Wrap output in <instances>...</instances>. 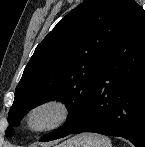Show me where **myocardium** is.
I'll return each mask as SVG.
<instances>
[{"instance_id":"1","label":"myocardium","mask_w":145,"mask_h":147,"mask_svg":"<svg viewBox=\"0 0 145 147\" xmlns=\"http://www.w3.org/2000/svg\"><path fill=\"white\" fill-rule=\"evenodd\" d=\"M52 113L53 117L47 122H38L45 113ZM72 115L70 104L59 97H49L33 104L24 116L26 129L34 134L46 133L64 126Z\"/></svg>"}]
</instances>
